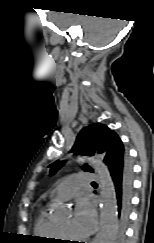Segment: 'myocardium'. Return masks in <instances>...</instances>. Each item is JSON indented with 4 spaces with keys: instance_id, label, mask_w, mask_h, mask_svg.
<instances>
[{
    "instance_id": "1",
    "label": "myocardium",
    "mask_w": 154,
    "mask_h": 243,
    "mask_svg": "<svg viewBox=\"0 0 154 243\" xmlns=\"http://www.w3.org/2000/svg\"><path fill=\"white\" fill-rule=\"evenodd\" d=\"M57 232L60 237V239L65 240L68 237H70L68 234H66L64 231H62L58 226H57Z\"/></svg>"
}]
</instances>
